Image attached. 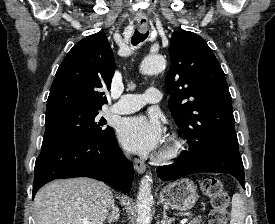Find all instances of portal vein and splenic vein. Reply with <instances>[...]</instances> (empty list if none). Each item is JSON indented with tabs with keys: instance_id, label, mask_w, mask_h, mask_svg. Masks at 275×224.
I'll return each mask as SVG.
<instances>
[{
	"instance_id": "obj_1",
	"label": "portal vein and splenic vein",
	"mask_w": 275,
	"mask_h": 224,
	"mask_svg": "<svg viewBox=\"0 0 275 224\" xmlns=\"http://www.w3.org/2000/svg\"><path fill=\"white\" fill-rule=\"evenodd\" d=\"M188 221V219L187 218H183L182 220H181V224H185L186 222Z\"/></svg>"
}]
</instances>
